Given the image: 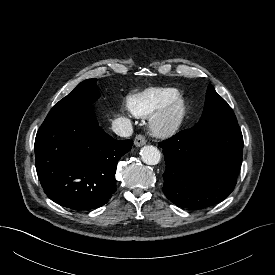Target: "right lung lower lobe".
<instances>
[{
	"mask_svg": "<svg viewBox=\"0 0 275 275\" xmlns=\"http://www.w3.org/2000/svg\"><path fill=\"white\" fill-rule=\"evenodd\" d=\"M131 140H115L98 125L91 109L45 122L35 139L36 170L47 196L73 210L98 208L116 191L120 157Z\"/></svg>",
	"mask_w": 275,
	"mask_h": 275,
	"instance_id": "1",
	"label": "right lung lower lobe"
}]
</instances>
